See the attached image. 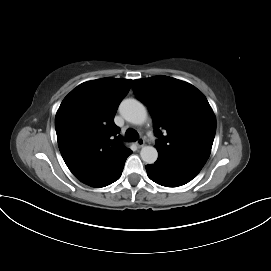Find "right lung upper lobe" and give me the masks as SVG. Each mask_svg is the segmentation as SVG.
<instances>
[{
  "mask_svg": "<svg viewBox=\"0 0 271 271\" xmlns=\"http://www.w3.org/2000/svg\"><path fill=\"white\" fill-rule=\"evenodd\" d=\"M131 80L102 78L80 84L62 101L55 129L70 171L87 185L111 174L132 151L121 143L114 116Z\"/></svg>",
  "mask_w": 271,
  "mask_h": 271,
  "instance_id": "1",
  "label": "right lung upper lobe"
}]
</instances>
